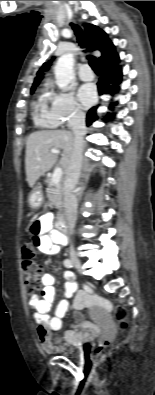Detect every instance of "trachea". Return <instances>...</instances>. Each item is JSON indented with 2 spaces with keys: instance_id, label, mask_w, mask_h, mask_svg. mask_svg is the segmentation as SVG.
Returning <instances> with one entry per match:
<instances>
[{
  "instance_id": "3493384b",
  "label": "trachea",
  "mask_w": 155,
  "mask_h": 395,
  "mask_svg": "<svg viewBox=\"0 0 155 395\" xmlns=\"http://www.w3.org/2000/svg\"><path fill=\"white\" fill-rule=\"evenodd\" d=\"M75 35L77 37L78 43L82 48H85L87 46V38L86 35L84 34V32L81 30V28L76 25V24H71ZM88 60H89V65L91 66V68L98 73L99 72V68H98V63L95 57L89 55L87 56Z\"/></svg>"
}]
</instances>
